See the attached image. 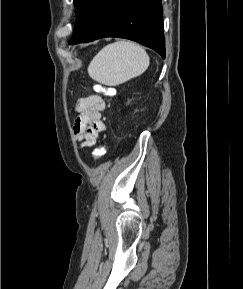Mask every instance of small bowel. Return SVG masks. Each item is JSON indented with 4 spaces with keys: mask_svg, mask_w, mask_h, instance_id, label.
I'll use <instances>...</instances> for the list:
<instances>
[{
    "mask_svg": "<svg viewBox=\"0 0 243 289\" xmlns=\"http://www.w3.org/2000/svg\"><path fill=\"white\" fill-rule=\"evenodd\" d=\"M105 107V100L98 94L83 97L78 101L73 132L82 148L94 146L99 135L105 131L102 121Z\"/></svg>",
    "mask_w": 243,
    "mask_h": 289,
    "instance_id": "1",
    "label": "small bowel"
}]
</instances>
